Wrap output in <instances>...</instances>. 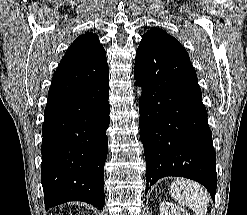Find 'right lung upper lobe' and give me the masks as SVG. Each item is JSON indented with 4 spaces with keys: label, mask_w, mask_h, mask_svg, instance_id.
Masks as SVG:
<instances>
[{
    "label": "right lung upper lobe",
    "mask_w": 247,
    "mask_h": 215,
    "mask_svg": "<svg viewBox=\"0 0 247 215\" xmlns=\"http://www.w3.org/2000/svg\"><path fill=\"white\" fill-rule=\"evenodd\" d=\"M101 51L104 48L100 45L98 36L85 33L70 45L62 59H86Z\"/></svg>",
    "instance_id": "1"
}]
</instances>
